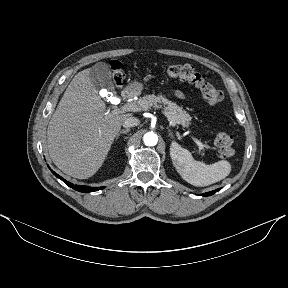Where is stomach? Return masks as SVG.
I'll use <instances>...</instances> for the list:
<instances>
[{"label": "stomach", "instance_id": "0dacf381", "mask_svg": "<svg viewBox=\"0 0 288 288\" xmlns=\"http://www.w3.org/2000/svg\"><path fill=\"white\" fill-rule=\"evenodd\" d=\"M128 91L134 95H139L143 89V84L140 82H132L128 87Z\"/></svg>", "mask_w": 288, "mask_h": 288}]
</instances>
